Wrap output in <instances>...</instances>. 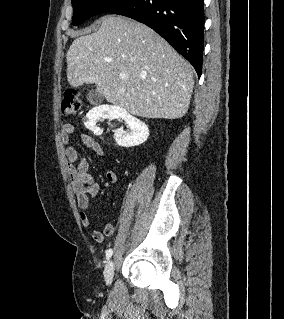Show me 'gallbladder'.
I'll list each match as a JSON object with an SVG mask.
<instances>
[{"instance_id": "gallbladder-1", "label": "gallbladder", "mask_w": 284, "mask_h": 319, "mask_svg": "<svg viewBox=\"0 0 284 319\" xmlns=\"http://www.w3.org/2000/svg\"><path fill=\"white\" fill-rule=\"evenodd\" d=\"M88 101L92 105H100L105 101V97L103 94L98 93L95 90H91L88 94Z\"/></svg>"}]
</instances>
